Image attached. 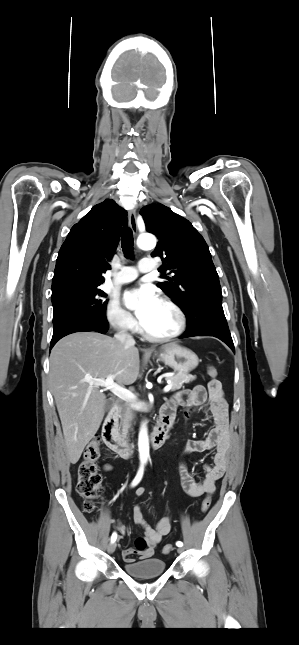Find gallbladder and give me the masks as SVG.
<instances>
[{
	"mask_svg": "<svg viewBox=\"0 0 299 645\" xmlns=\"http://www.w3.org/2000/svg\"><path fill=\"white\" fill-rule=\"evenodd\" d=\"M110 408V403H107L105 406V410H108Z\"/></svg>",
	"mask_w": 299,
	"mask_h": 645,
	"instance_id": "gallbladder-1",
	"label": "gallbladder"
}]
</instances>
